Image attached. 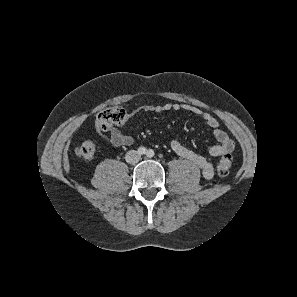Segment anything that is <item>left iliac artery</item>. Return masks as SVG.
I'll use <instances>...</instances> for the list:
<instances>
[{"label":"left iliac artery","mask_w":297,"mask_h":297,"mask_svg":"<svg viewBox=\"0 0 297 297\" xmlns=\"http://www.w3.org/2000/svg\"><path fill=\"white\" fill-rule=\"evenodd\" d=\"M147 156H148L149 158L153 157V156H154V151L151 150V149H149V150L147 151Z\"/></svg>","instance_id":"44dca946"}]
</instances>
